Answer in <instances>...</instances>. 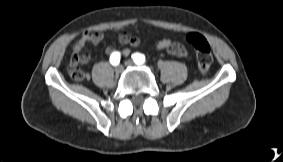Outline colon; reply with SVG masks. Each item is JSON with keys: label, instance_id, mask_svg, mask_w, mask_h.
Returning <instances> with one entry per match:
<instances>
[{"label": "colon", "instance_id": "obj_1", "mask_svg": "<svg viewBox=\"0 0 283 162\" xmlns=\"http://www.w3.org/2000/svg\"><path fill=\"white\" fill-rule=\"evenodd\" d=\"M186 41L195 49L197 57V65L202 74L208 73L213 57L211 47L208 41L198 33H189L186 35ZM70 75L75 80H83L86 75L80 69L70 71Z\"/></svg>", "mask_w": 283, "mask_h": 162}]
</instances>
